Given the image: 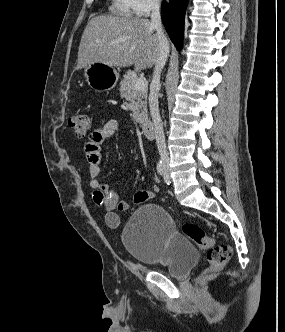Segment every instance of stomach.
<instances>
[{
	"label": "stomach",
	"instance_id": "obj_1",
	"mask_svg": "<svg viewBox=\"0 0 285 332\" xmlns=\"http://www.w3.org/2000/svg\"><path fill=\"white\" fill-rule=\"evenodd\" d=\"M84 75L88 85L96 91L112 90L119 79L115 68L100 62L86 66Z\"/></svg>",
	"mask_w": 285,
	"mask_h": 332
}]
</instances>
